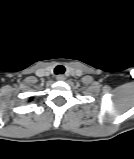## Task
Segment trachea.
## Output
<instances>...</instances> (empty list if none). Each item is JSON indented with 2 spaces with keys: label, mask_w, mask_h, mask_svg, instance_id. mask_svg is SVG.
<instances>
[{
  "label": "trachea",
  "mask_w": 134,
  "mask_h": 159,
  "mask_svg": "<svg viewBox=\"0 0 134 159\" xmlns=\"http://www.w3.org/2000/svg\"><path fill=\"white\" fill-rule=\"evenodd\" d=\"M65 72V67L63 65H58L54 69V73L59 75V74H64Z\"/></svg>",
  "instance_id": "1"
}]
</instances>
